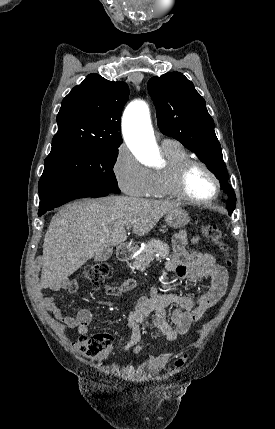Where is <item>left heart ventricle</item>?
I'll return each mask as SVG.
<instances>
[{
  "label": "left heart ventricle",
  "mask_w": 275,
  "mask_h": 429,
  "mask_svg": "<svg viewBox=\"0 0 275 429\" xmlns=\"http://www.w3.org/2000/svg\"><path fill=\"white\" fill-rule=\"evenodd\" d=\"M186 189L193 198L205 200L214 195L215 183L205 170L195 167L188 174Z\"/></svg>",
  "instance_id": "obj_1"
}]
</instances>
